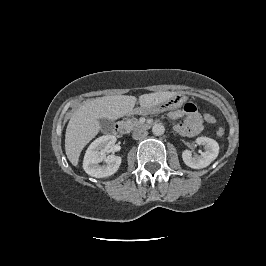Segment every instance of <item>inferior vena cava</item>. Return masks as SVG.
Instances as JSON below:
<instances>
[{
    "label": "inferior vena cava",
    "mask_w": 266,
    "mask_h": 266,
    "mask_svg": "<svg viewBox=\"0 0 266 266\" xmlns=\"http://www.w3.org/2000/svg\"><path fill=\"white\" fill-rule=\"evenodd\" d=\"M146 136H147V131L145 129H142V128L134 130V132L132 134V137L135 140L142 139Z\"/></svg>",
    "instance_id": "obj_1"
}]
</instances>
